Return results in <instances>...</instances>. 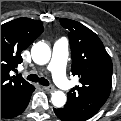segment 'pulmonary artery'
I'll return each mask as SVG.
<instances>
[{
    "instance_id": "e3ab8cb5",
    "label": "pulmonary artery",
    "mask_w": 121,
    "mask_h": 121,
    "mask_svg": "<svg viewBox=\"0 0 121 121\" xmlns=\"http://www.w3.org/2000/svg\"><path fill=\"white\" fill-rule=\"evenodd\" d=\"M68 60V42L65 38L58 39L53 46L52 59L49 69L55 82L63 90H69L70 84L66 77V65Z\"/></svg>"
}]
</instances>
